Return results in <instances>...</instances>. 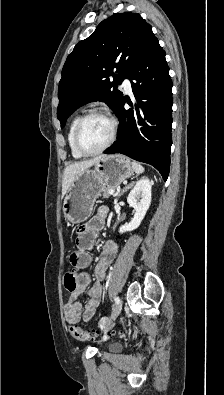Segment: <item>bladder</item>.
I'll list each match as a JSON object with an SVG mask.
<instances>
[{"instance_id":"obj_1","label":"bladder","mask_w":224,"mask_h":395,"mask_svg":"<svg viewBox=\"0 0 224 395\" xmlns=\"http://www.w3.org/2000/svg\"><path fill=\"white\" fill-rule=\"evenodd\" d=\"M109 349L111 351H119L121 349V345L113 343L109 345Z\"/></svg>"}]
</instances>
